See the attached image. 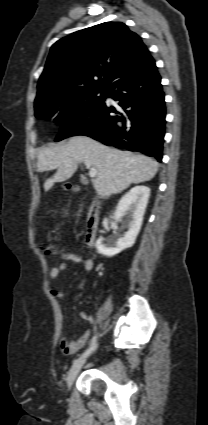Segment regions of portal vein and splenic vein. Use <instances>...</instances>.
Returning <instances> with one entry per match:
<instances>
[{"label": "portal vein and splenic vein", "mask_w": 208, "mask_h": 425, "mask_svg": "<svg viewBox=\"0 0 208 425\" xmlns=\"http://www.w3.org/2000/svg\"><path fill=\"white\" fill-rule=\"evenodd\" d=\"M85 166L87 169H89V176L91 178H94L97 175V169L93 167L90 163L85 162Z\"/></svg>", "instance_id": "1"}]
</instances>
